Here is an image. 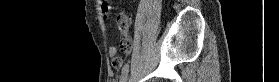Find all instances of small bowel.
Listing matches in <instances>:
<instances>
[{"mask_svg":"<svg viewBox=\"0 0 279 82\" xmlns=\"http://www.w3.org/2000/svg\"><path fill=\"white\" fill-rule=\"evenodd\" d=\"M97 4L101 8L104 17H108L109 12H110L109 7L101 1H97ZM119 30L122 34V38H121V42H120L121 48L125 52H129L130 48H131V40L128 37V26H125L123 28L119 27ZM108 53H109V56L113 59V68L117 71L120 70L123 67V60L117 56L118 55L117 47L111 46L109 48Z\"/></svg>","mask_w":279,"mask_h":82,"instance_id":"small-bowel-1","label":"small bowel"}]
</instances>
